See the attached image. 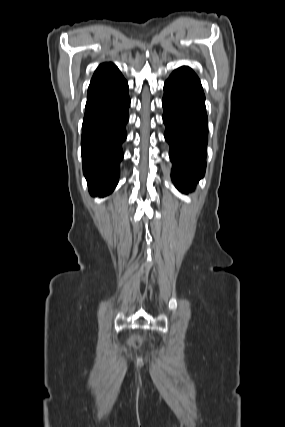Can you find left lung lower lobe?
Masks as SVG:
<instances>
[{"mask_svg": "<svg viewBox=\"0 0 285 427\" xmlns=\"http://www.w3.org/2000/svg\"><path fill=\"white\" fill-rule=\"evenodd\" d=\"M162 103L172 180L181 192L188 193L204 176L208 139L205 95L191 68L183 66L173 71L164 84Z\"/></svg>", "mask_w": 285, "mask_h": 427, "instance_id": "1", "label": "left lung lower lobe"}]
</instances>
